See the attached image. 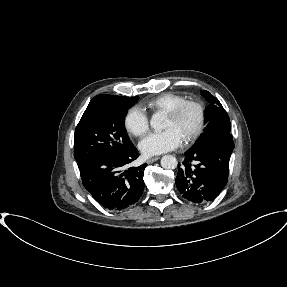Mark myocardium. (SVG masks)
<instances>
[{"mask_svg": "<svg viewBox=\"0 0 287 287\" xmlns=\"http://www.w3.org/2000/svg\"><path fill=\"white\" fill-rule=\"evenodd\" d=\"M194 109L197 113V122L192 131L184 139L185 143L196 141L204 131L206 125V108L203 103L196 100H186L166 113L172 119H178L187 109Z\"/></svg>", "mask_w": 287, "mask_h": 287, "instance_id": "1", "label": "myocardium"}]
</instances>
